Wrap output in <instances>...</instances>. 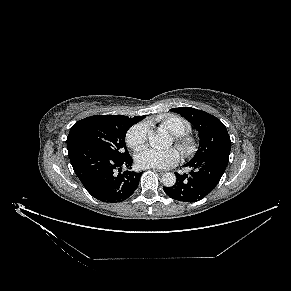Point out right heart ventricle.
<instances>
[{"mask_svg": "<svg viewBox=\"0 0 291 291\" xmlns=\"http://www.w3.org/2000/svg\"><path fill=\"white\" fill-rule=\"evenodd\" d=\"M161 126L169 130L174 135L186 134L190 129V123L178 115H164L157 119Z\"/></svg>", "mask_w": 291, "mask_h": 291, "instance_id": "obj_1", "label": "right heart ventricle"}]
</instances>
